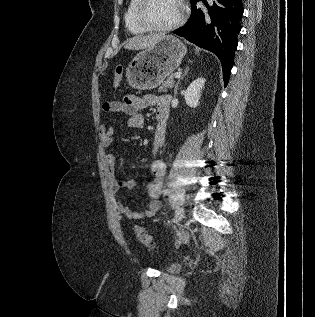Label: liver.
<instances>
[{
    "label": "liver",
    "mask_w": 315,
    "mask_h": 317,
    "mask_svg": "<svg viewBox=\"0 0 315 317\" xmlns=\"http://www.w3.org/2000/svg\"><path fill=\"white\" fill-rule=\"evenodd\" d=\"M164 34H151L147 36H135L129 39L124 47L128 50H141L147 49L155 45L157 41L162 39Z\"/></svg>",
    "instance_id": "6515ba94"
}]
</instances>
